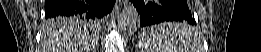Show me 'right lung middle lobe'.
<instances>
[{"label": "right lung middle lobe", "instance_id": "right-lung-middle-lobe-1", "mask_svg": "<svg viewBox=\"0 0 261 52\" xmlns=\"http://www.w3.org/2000/svg\"><path fill=\"white\" fill-rule=\"evenodd\" d=\"M56 20L58 22H65V23H70V22L82 23V22H84L92 29H97L100 25L99 20L90 19L85 16H62V17H57Z\"/></svg>", "mask_w": 261, "mask_h": 52}]
</instances>
